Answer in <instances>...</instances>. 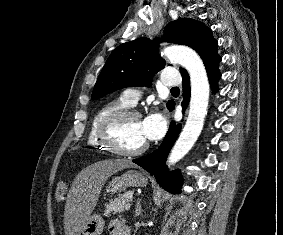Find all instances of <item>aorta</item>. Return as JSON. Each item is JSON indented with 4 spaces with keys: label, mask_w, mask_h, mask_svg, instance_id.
<instances>
[{
    "label": "aorta",
    "mask_w": 283,
    "mask_h": 235,
    "mask_svg": "<svg viewBox=\"0 0 283 235\" xmlns=\"http://www.w3.org/2000/svg\"><path fill=\"white\" fill-rule=\"evenodd\" d=\"M162 55L183 66L189 73L191 83L189 114L169 154L168 165L170 166L182 159L197 141L207 114L210 87L203 61L195 51L188 47L174 45L165 48Z\"/></svg>",
    "instance_id": "1"
}]
</instances>
